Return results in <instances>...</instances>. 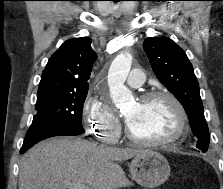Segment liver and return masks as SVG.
Returning <instances> with one entry per match:
<instances>
[{"mask_svg":"<svg viewBox=\"0 0 223 189\" xmlns=\"http://www.w3.org/2000/svg\"><path fill=\"white\" fill-rule=\"evenodd\" d=\"M145 150L97 146L86 140L57 137L28 150L19 164V189H66L67 183L92 189H116L128 185L118 161Z\"/></svg>","mask_w":223,"mask_h":189,"instance_id":"1","label":"liver"}]
</instances>
